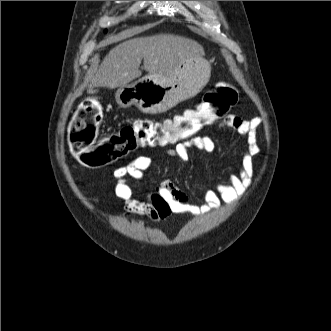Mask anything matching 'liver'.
<instances>
[{"mask_svg": "<svg viewBox=\"0 0 331 331\" xmlns=\"http://www.w3.org/2000/svg\"><path fill=\"white\" fill-rule=\"evenodd\" d=\"M203 47L196 41L173 34H158L133 38L114 47L103 59L90 79L94 87L118 88L139 78L143 59L144 69L152 75L168 76L190 58L202 56Z\"/></svg>", "mask_w": 331, "mask_h": 331, "instance_id": "obj_1", "label": "liver"}]
</instances>
